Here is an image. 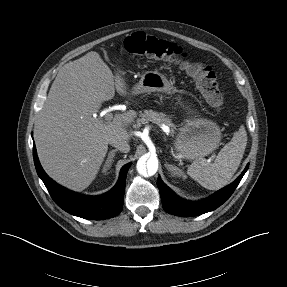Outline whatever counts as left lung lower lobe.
<instances>
[{
	"instance_id": "left-lung-lower-lobe-1",
	"label": "left lung lower lobe",
	"mask_w": 287,
	"mask_h": 287,
	"mask_svg": "<svg viewBox=\"0 0 287 287\" xmlns=\"http://www.w3.org/2000/svg\"><path fill=\"white\" fill-rule=\"evenodd\" d=\"M248 167L249 164L233 183L198 202H191L178 197L159 177L157 186L160 191L163 208L166 212L181 217L197 216L212 211L222 205L232 195Z\"/></svg>"
}]
</instances>
